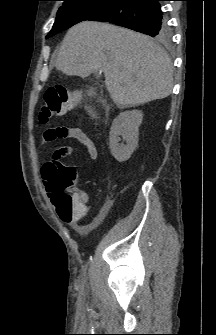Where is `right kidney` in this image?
<instances>
[{"label": "right kidney", "mask_w": 216, "mask_h": 335, "mask_svg": "<svg viewBox=\"0 0 216 335\" xmlns=\"http://www.w3.org/2000/svg\"><path fill=\"white\" fill-rule=\"evenodd\" d=\"M143 120L140 110L125 111L120 113L113 121L110 130V150L113 157L119 162H125L138 145L139 126ZM126 145L119 144L120 137Z\"/></svg>", "instance_id": "obj_1"}]
</instances>
